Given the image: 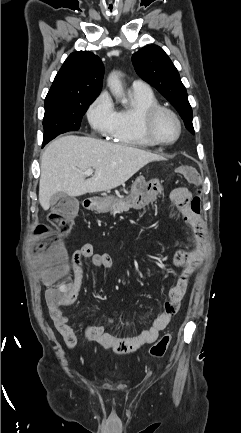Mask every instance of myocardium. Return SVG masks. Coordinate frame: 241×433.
<instances>
[{
  "instance_id": "1",
  "label": "myocardium",
  "mask_w": 241,
  "mask_h": 433,
  "mask_svg": "<svg viewBox=\"0 0 241 433\" xmlns=\"http://www.w3.org/2000/svg\"><path fill=\"white\" fill-rule=\"evenodd\" d=\"M162 113L169 114L174 119L177 125V135L171 141L160 140L155 135L154 132L155 121L158 118V116ZM141 128L146 139L153 145H158V146H168L176 143L181 137V133H182V123L177 113L172 109L159 104L151 106L143 111L141 116Z\"/></svg>"
}]
</instances>
